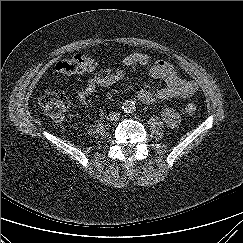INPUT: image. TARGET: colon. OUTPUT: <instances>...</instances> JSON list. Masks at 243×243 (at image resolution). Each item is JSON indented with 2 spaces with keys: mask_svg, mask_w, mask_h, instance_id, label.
<instances>
[{
  "mask_svg": "<svg viewBox=\"0 0 243 243\" xmlns=\"http://www.w3.org/2000/svg\"><path fill=\"white\" fill-rule=\"evenodd\" d=\"M56 71L62 74L95 73L103 76L113 74L116 70L100 67L92 58L76 54L71 58L57 62ZM40 104L44 112L54 121H62L70 106V100L66 93L61 90L44 88L40 93ZM185 112L193 116L198 111L195 102L185 104Z\"/></svg>",
  "mask_w": 243,
  "mask_h": 243,
  "instance_id": "obj_1",
  "label": "colon"
}]
</instances>
